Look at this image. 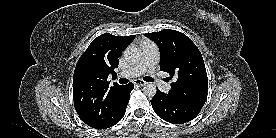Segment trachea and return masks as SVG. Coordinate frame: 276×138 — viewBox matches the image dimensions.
I'll return each mask as SVG.
<instances>
[{
  "mask_svg": "<svg viewBox=\"0 0 276 138\" xmlns=\"http://www.w3.org/2000/svg\"><path fill=\"white\" fill-rule=\"evenodd\" d=\"M143 79H144L145 81H147V82H153V81H154V79H153L152 77H149V76H146V77H144ZM128 82H129L128 79H124V78L119 79V83H120V84H126V83H128Z\"/></svg>",
  "mask_w": 276,
  "mask_h": 138,
  "instance_id": "obj_1",
  "label": "trachea"
}]
</instances>
